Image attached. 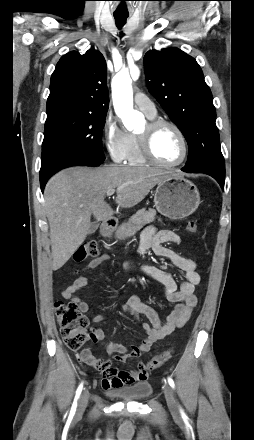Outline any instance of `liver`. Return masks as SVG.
Listing matches in <instances>:
<instances>
[{"label": "liver", "mask_w": 254, "mask_h": 440, "mask_svg": "<svg viewBox=\"0 0 254 440\" xmlns=\"http://www.w3.org/2000/svg\"><path fill=\"white\" fill-rule=\"evenodd\" d=\"M171 173L146 167L109 165L99 168L71 167L47 182L44 208L50 227L52 268L60 269L84 242L93 215L104 221L113 215L104 198L116 189V203L130 208Z\"/></svg>", "instance_id": "obj_1"}]
</instances>
